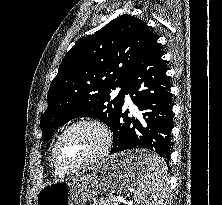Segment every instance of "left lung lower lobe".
<instances>
[{"mask_svg": "<svg viewBox=\"0 0 222 205\" xmlns=\"http://www.w3.org/2000/svg\"><path fill=\"white\" fill-rule=\"evenodd\" d=\"M157 39L154 34L150 35L123 86V104L125 95L129 94L133 103L143 112L144 120L130 118L128 110L124 112L121 109L111 129L114 138L110 154L126 149L147 148L159 155L169 150L164 158L166 162L170 158L173 103L171 85L166 76L167 67L161 58L163 52Z\"/></svg>", "mask_w": 222, "mask_h": 205, "instance_id": "0a47b994", "label": "left lung lower lobe"}]
</instances>
